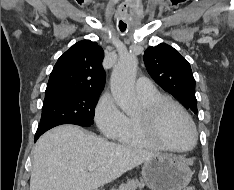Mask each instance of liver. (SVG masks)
I'll use <instances>...</instances> for the list:
<instances>
[{
  "instance_id": "6515ba94",
  "label": "liver",
  "mask_w": 234,
  "mask_h": 190,
  "mask_svg": "<svg viewBox=\"0 0 234 190\" xmlns=\"http://www.w3.org/2000/svg\"><path fill=\"white\" fill-rule=\"evenodd\" d=\"M156 155L62 125L36 143L30 190H98ZM91 164L97 167L88 172Z\"/></svg>"
}]
</instances>
